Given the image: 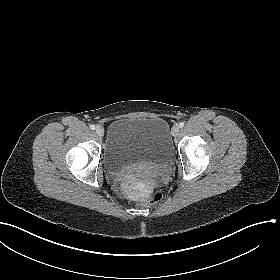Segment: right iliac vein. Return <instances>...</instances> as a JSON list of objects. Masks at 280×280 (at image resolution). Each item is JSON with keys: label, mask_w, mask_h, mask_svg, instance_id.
<instances>
[{"label": "right iliac vein", "mask_w": 280, "mask_h": 280, "mask_svg": "<svg viewBox=\"0 0 280 280\" xmlns=\"http://www.w3.org/2000/svg\"><path fill=\"white\" fill-rule=\"evenodd\" d=\"M95 131H96V134L100 137L104 135V128L102 126H97Z\"/></svg>", "instance_id": "obj_1"}]
</instances>
